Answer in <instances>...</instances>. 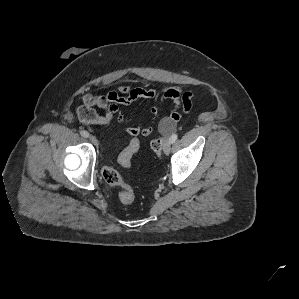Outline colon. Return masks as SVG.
I'll list each match as a JSON object with an SVG mask.
<instances>
[{"mask_svg":"<svg viewBox=\"0 0 299 299\" xmlns=\"http://www.w3.org/2000/svg\"><path fill=\"white\" fill-rule=\"evenodd\" d=\"M163 131H170L173 128V123L167 119L161 124ZM164 138H157L151 142L152 151L159 156L162 152ZM141 142L138 137L130 140L126 148L120 153L118 157L119 164L124 168H129L132 163L134 155L139 151ZM102 177L104 181L110 186H117L121 188L119 199L124 204H130L134 200V192L132 187L127 184L118 171L111 167H105L102 170Z\"/></svg>","mask_w":299,"mask_h":299,"instance_id":"obj_1","label":"colon"}]
</instances>
